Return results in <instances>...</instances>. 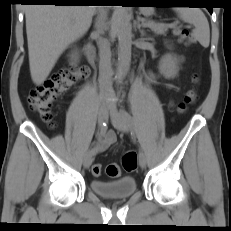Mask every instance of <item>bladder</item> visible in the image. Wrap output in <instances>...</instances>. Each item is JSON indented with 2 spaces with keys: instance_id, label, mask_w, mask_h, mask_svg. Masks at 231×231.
Listing matches in <instances>:
<instances>
[{
  "instance_id": "obj_1",
  "label": "bladder",
  "mask_w": 231,
  "mask_h": 231,
  "mask_svg": "<svg viewBox=\"0 0 231 231\" xmlns=\"http://www.w3.org/2000/svg\"><path fill=\"white\" fill-rule=\"evenodd\" d=\"M137 187L136 178L125 176L113 181L91 180L90 188L96 194L106 198H127Z\"/></svg>"
}]
</instances>
